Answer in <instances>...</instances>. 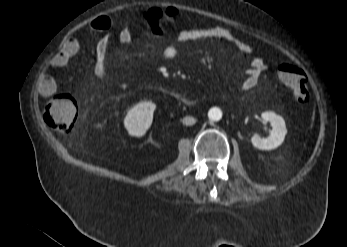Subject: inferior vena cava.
<instances>
[{"mask_svg":"<svg viewBox=\"0 0 347 247\" xmlns=\"http://www.w3.org/2000/svg\"><path fill=\"white\" fill-rule=\"evenodd\" d=\"M183 124L185 125H193L196 123V119L194 117L186 116L183 118Z\"/></svg>","mask_w":347,"mask_h":247,"instance_id":"inferior-vena-cava-1","label":"inferior vena cava"}]
</instances>
